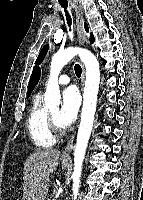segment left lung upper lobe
I'll return each instance as SVG.
<instances>
[{"label": "left lung upper lobe", "instance_id": "1", "mask_svg": "<svg viewBox=\"0 0 143 200\" xmlns=\"http://www.w3.org/2000/svg\"><path fill=\"white\" fill-rule=\"evenodd\" d=\"M90 42H91V43L94 42V37H93L92 34H90ZM48 48H49V45H48V44L45 45V46L42 48V50L40 51V54H39V56H38V58H37V60H36V64H40V63L43 61V59H44V57H45V55H46V53H47V51H48Z\"/></svg>", "mask_w": 143, "mask_h": 200}]
</instances>
